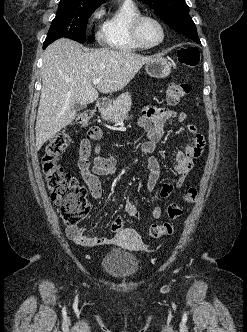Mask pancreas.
Instances as JSON below:
<instances>
[{
  "label": "pancreas",
  "mask_w": 247,
  "mask_h": 332,
  "mask_svg": "<svg viewBox=\"0 0 247 332\" xmlns=\"http://www.w3.org/2000/svg\"><path fill=\"white\" fill-rule=\"evenodd\" d=\"M132 105L131 94L124 93L120 95L109 107H107L101 116L104 120L112 123H120L130 110Z\"/></svg>",
  "instance_id": "obj_1"
}]
</instances>
